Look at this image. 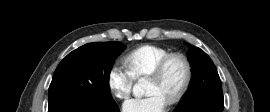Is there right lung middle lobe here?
I'll list each match as a JSON object with an SVG mask.
<instances>
[{"label":"right lung middle lobe","instance_id":"obj_1","mask_svg":"<svg viewBox=\"0 0 270 112\" xmlns=\"http://www.w3.org/2000/svg\"><path fill=\"white\" fill-rule=\"evenodd\" d=\"M120 42L88 43L69 53L55 70L49 87V104L85 96L101 105L115 103L109 76Z\"/></svg>","mask_w":270,"mask_h":112}]
</instances>
